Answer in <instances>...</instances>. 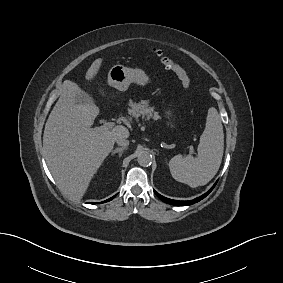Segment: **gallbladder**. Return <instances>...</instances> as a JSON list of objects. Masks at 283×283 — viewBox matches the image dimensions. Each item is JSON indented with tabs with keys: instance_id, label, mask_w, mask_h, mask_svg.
<instances>
[{
	"instance_id": "gallbladder-1",
	"label": "gallbladder",
	"mask_w": 283,
	"mask_h": 283,
	"mask_svg": "<svg viewBox=\"0 0 283 283\" xmlns=\"http://www.w3.org/2000/svg\"><path fill=\"white\" fill-rule=\"evenodd\" d=\"M89 99H90V96L88 94H86L85 92L82 93L80 96H78L76 98L77 104H79V103H87V102H89Z\"/></svg>"
}]
</instances>
